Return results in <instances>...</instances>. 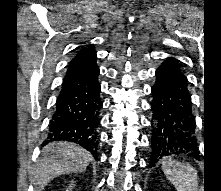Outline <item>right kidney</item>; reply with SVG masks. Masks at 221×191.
Masks as SVG:
<instances>
[{"label": "right kidney", "mask_w": 221, "mask_h": 191, "mask_svg": "<svg viewBox=\"0 0 221 191\" xmlns=\"http://www.w3.org/2000/svg\"><path fill=\"white\" fill-rule=\"evenodd\" d=\"M73 181L71 182L70 186H69V190L67 189L66 191H71V188L73 187Z\"/></svg>", "instance_id": "obj_1"}]
</instances>
